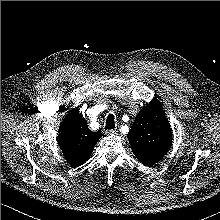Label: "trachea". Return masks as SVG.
Instances as JSON below:
<instances>
[{"label": "trachea", "instance_id": "1", "mask_svg": "<svg viewBox=\"0 0 220 220\" xmlns=\"http://www.w3.org/2000/svg\"><path fill=\"white\" fill-rule=\"evenodd\" d=\"M115 128V118L113 114H109L106 119L105 129H113Z\"/></svg>", "mask_w": 220, "mask_h": 220}]
</instances>
